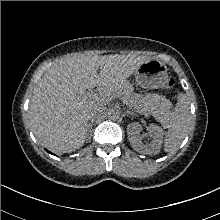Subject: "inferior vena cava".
<instances>
[{"label":"inferior vena cava","mask_w":220,"mask_h":220,"mask_svg":"<svg viewBox=\"0 0 220 220\" xmlns=\"http://www.w3.org/2000/svg\"><path fill=\"white\" fill-rule=\"evenodd\" d=\"M105 112V107L104 105H100V106H96L94 107L89 114V118L92 119H96L97 117H99L101 114H103Z\"/></svg>","instance_id":"1"}]
</instances>
